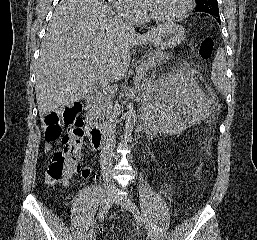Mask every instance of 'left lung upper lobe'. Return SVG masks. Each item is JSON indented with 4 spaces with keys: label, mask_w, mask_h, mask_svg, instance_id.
I'll return each mask as SVG.
<instances>
[{
    "label": "left lung upper lobe",
    "mask_w": 257,
    "mask_h": 240,
    "mask_svg": "<svg viewBox=\"0 0 257 240\" xmlns=\"http://www.w3.org/2000/svg\"><path fill=\"white\" fill-rule=\"evenodd\" d=\"M194 12H204L219 16V8L217 0H196Z\"/></svg>",
    "instance_id": "obj_1"
}]
</instances>
